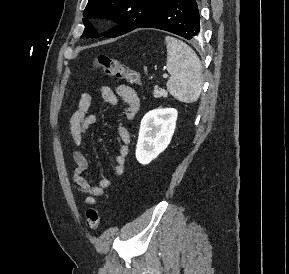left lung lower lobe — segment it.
<instances>
[{"instance_id": "0a47b994", "label": "left lung lower lobe", "mask_w": 289, "mask_h": 274, "mask_svg": "<svg viewBox=\"0 0 289 274\" xmlns=\"http://www.w3.org/2000/svg\"><path fill=\"white\" fill-rule=\"evenodd\" d=\"M136 28L161 29L187 40H194L200 33L197 2L196 0H165Z\"/></svg>"}]
</instances>
